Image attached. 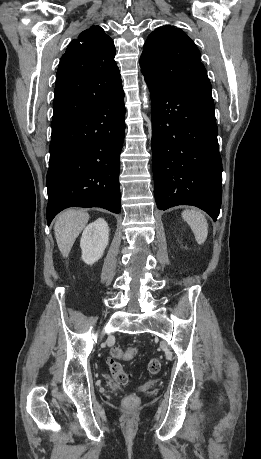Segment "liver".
Wrapping results in <instances>:
<instances>
[{
    "label": "liver",
    "instance_id": "obj_1",
    "mask_svg": "<svg viewBox=\"0 0 261 459\" xmlns=\"http://www.w3.org/2000/svg\"><path fill=\"white\" fill-rule=\"evenodd\" d=\"M89 220V214L82 210H66L55 221L54 232L58 248L64 258Z\"/></svg>",
    "mask_w": 261,
    "mask_h": 459
}]
</instances>
